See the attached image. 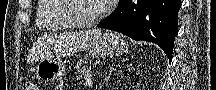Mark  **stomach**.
<instances>
[{
  "label": "stomach",
  "instance_id": "obj_1",
  "mask_svg": "<svg viewBox=\"0 0 216 90\" xmlns=\"http://www.w3.org/2000/svg\"><path fill=\"white\" fill-rule=\"evenodd\" d=\"M128 45L124 37L115 32H106L90 48L92 56L114 57L126 52ZM65 75V66L61 60L41 61L36 68V76L42 81H53Z\"/></svg>",
  "mask_w": 216,
  "mask_h": 90
}]
</instances>
